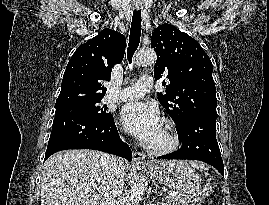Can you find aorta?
Returning <instances> with one entry per match:
<instances>
[{"instance_id":"obj_1","label":"aorta","mask_w":269,"mask_h":205,"mask_svg":"<svg viewBox=\"0 0 269 205\" xmlns=\"http://www.w3.org/2000/svg\"><path fill=\"white\" fill-rule=\"evenodd\" d=\"M157 56L152 49H142L135 56L136 65H149L156 61ZM145 176L142 173L136 176L131 189L123 199L121 205H138L146 190Z\"/></svg>"}]
</instances>
